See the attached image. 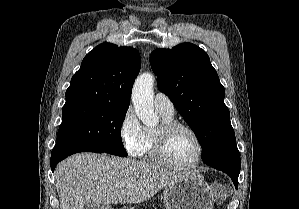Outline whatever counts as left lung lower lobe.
I'll return each instance as SVG.
<instances>
[{
	"label": "left lung lower lobe",
	"instance_id": "obj_1",
	"mask_svg": "<svg viewBox=\"0 0 299 209\" xmlns=\"http://www.w3.org/2000/svg\"><path fill=\"white\" fill-rule=\"evenodd\" d=\"M240 163L236 139H231L209 160L207 165L228 174L237 189Z\"/></svg>",
	"mask_w": 299,
	"mask_h": 209
}]
</instances>
